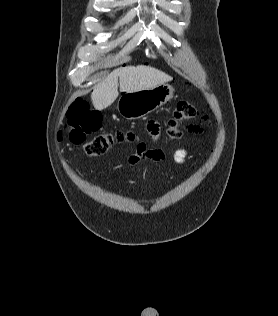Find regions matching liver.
I'll use <instances>...</instances> for the list:
<instances>
[{
	"label": "liver",
	"mask_w": 278,
	"mask_h": 316,
	"mask_svg": "<svg viewBox=\"0 0 278 316\" xmlns=\"http://www.w3.org/2000/svg\"><path fill=\"white\" fill-rule=\"evenodd\" d=\"M118 79L120 91L138 92L153 88L172 80V77L155 68L138 65L115 69L93 90L91 99L97 110L110 106L118 97Z\"/></svg>",
	"instance_id": "1"
}]
</instances>
